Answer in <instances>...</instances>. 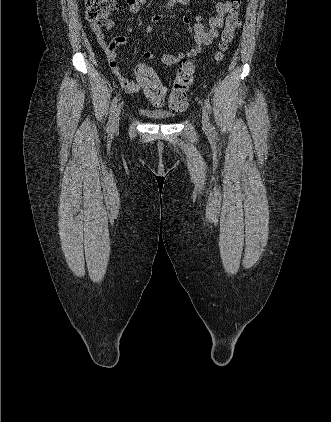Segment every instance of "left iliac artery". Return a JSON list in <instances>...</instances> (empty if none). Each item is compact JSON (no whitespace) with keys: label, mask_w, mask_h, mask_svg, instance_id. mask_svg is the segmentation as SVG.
I'll use <instances>...</instances> for the list:
<instances>
[{"label":"left iliac artery","mask_w":331,"mask_h":422,"mask_svg":"<svg viewBox=\"0 0 331 422\" xmlns=\"http://www.w3.org/2000/svg\"><path fill=\"white\" fill-rule=\"evenodd\" d=\"M204 105H205V109L210 114V112H211V105H210L209 99H205ZM211 130H213V127L212 126H211Z\"/></svg>","instance_id":"44dca946"}]
</instances>
